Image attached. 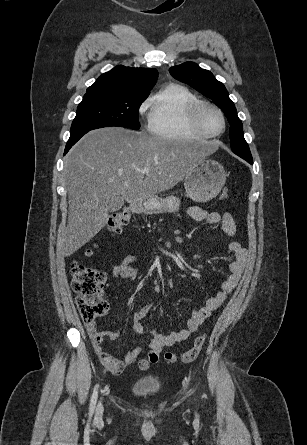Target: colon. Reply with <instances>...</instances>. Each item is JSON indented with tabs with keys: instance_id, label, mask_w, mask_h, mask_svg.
Masks as SVG:
<instances>
[{
	"instance_id": "colon-1",
	"label": "colon",
	"mask_w": 307,
	"mask_h": 445,
	"mask_svg": "<svg viewBox=\"0 0 307 445\" xmlns=\"http://www.w3.org/2000/svg\"><path fill=\"white\" fill-rule=\"evenodd\" d=\"M219 197L221 200H226L229 197V189H222ZM129 220L130 215L126 211L118 212L110 218L109 228L112 232L119 233L129 223ZM90 252L88 250L87 254H90ZM70 273L72 276V288L77 294V306L81 317L87 324L94 322L108 311V304L103 298L106 276L102 271L87 267L78 262L71 264ZM205 340L206 335L201 334L196 337L192 347L185 353L178 355L167 352L164 356L165 360L168 363L193 362L199 357Z\"/></svg>"
}]
</instances>
